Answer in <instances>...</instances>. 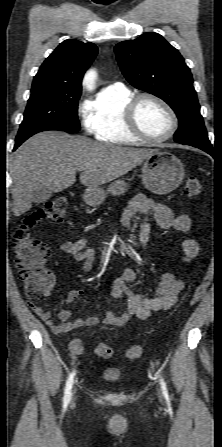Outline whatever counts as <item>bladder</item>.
<instances>
[{
	"label": "bladder",
	"mask_w": 222,
	"mask_h": 447,
	"mask_svg": "<svg viewBox=\"0 0 222 447\" xmlns=\"http://www.w3.org/2000/svg\"><path fill=\"white\" fill-rule=\"evenodd\" d=\"M101 377L108 382H115L121 379L122 372L115 369H104L101 373Z\"/></svg>",
	"instance_id": "1"
}]
</instances>
